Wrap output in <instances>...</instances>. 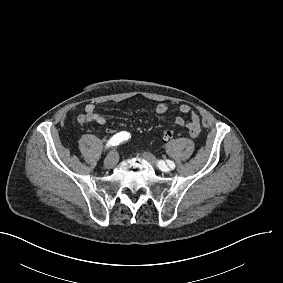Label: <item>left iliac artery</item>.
Wrapping results in <instances>:
<instances>
[{
	"label": "left iliac artery",
	"mask_w": 283,
	"mask_h": 283,
	"mask_svg": "<svg viewBox=\"0 0 283 283\" xmlns=\"http://www.w3.org/2000/svg\"><path fill=\"white\" fill-rule=\"evenodd\" d=\"M162 163L159 162V165H161ZM167 164L172 168L174 169L175 168V163L173 161H170V160H167Z\"/></svg>",
	"instance_id": "1"
}]
</instances>
